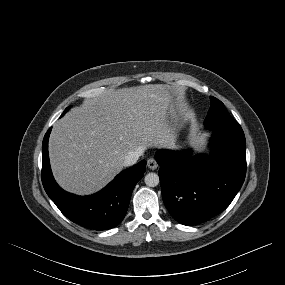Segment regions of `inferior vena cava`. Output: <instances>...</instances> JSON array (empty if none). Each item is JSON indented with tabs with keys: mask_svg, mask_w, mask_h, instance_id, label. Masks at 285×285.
<instances>
[{
	"mask_svg": "<svg viewBox=\"0 0 285 285\" xmlns=\"http://www.w3.org/2000/svg\"><path fill=\"white\" fill-rule=\"evenodd\" d=\"M140 154L138 152H132L129 155H127L123 161L124 166H131L134 165L138 158H139Z\"/></svg>",
	"mask_w": 285,
	"mask_h": 285,
	"instance_id": "1",
	"label": "inferior vena cava"
}]
</instances>
